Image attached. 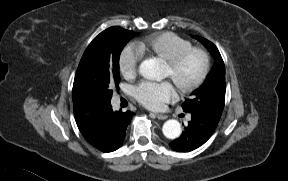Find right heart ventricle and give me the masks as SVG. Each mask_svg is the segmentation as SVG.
<instances>
[{"instance_id":"obj_1","label":"right heart ventricle","mask_w":288,"mask_h":181,"mask_svg":"<svg viewBox=\"0 0 288 181\" xmlns=\"http://www.w3.org/2000/svg\"><path fill=\"white\" fill-rule=\"evenodd\" d=\"M192 43L172 32H162L152 35L137 44L141 54L167 60L178 52L189 48Z\"/></svg>"}]
</instances>
